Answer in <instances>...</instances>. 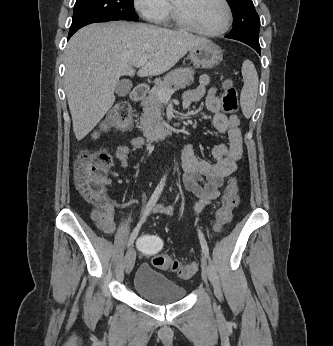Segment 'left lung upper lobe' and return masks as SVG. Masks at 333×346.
Masks as SVG:
<instances>
[{
    "label": "left lung upper lobe",
    "mask_w": 333,
    "mask_h": 346,
    "mask_svg": "<svg viewBox=\"0 0 333 346\" xmlns=\"http://www.w3.org/2000/svg\"><path fill=\"white\" fill-rule=\"evenodd\" d=\"M234 16V25L227 38L259 44L260 18L252 0H227Z\"/></svg>",
    "instance_id": "left-lung-upper-lobe-1"
}]
</instances>
